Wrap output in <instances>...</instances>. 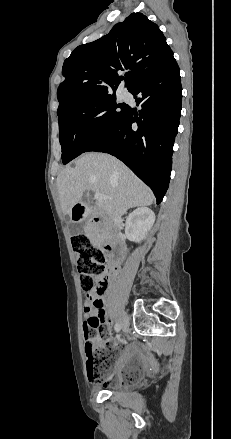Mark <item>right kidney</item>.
<instances>
[{"label": "right kidney", "instance_id": "1", "mask_svg": "<svg viewBox=\"0 0 231 439\" xmlns=\"http://www.w3.org/2000/svg\"><path fill=\"white\" fill-rule=\"evenodd\" d=\"M155 222L154 212L141 207L133 211L126 219V234L129 240L140 242L152 228Z\"/></svg>", "mask_w": 231, "mask_h": 439}]
</instances>
